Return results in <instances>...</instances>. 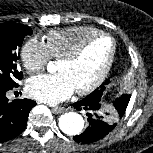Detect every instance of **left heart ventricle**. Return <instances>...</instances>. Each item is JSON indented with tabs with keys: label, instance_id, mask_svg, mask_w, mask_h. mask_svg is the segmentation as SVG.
<instances>
[{
	"label": "left heart ventricle",
	"instance_id": "b2bd125f",
	"mask_svg": "<svg viewBox=\"0 0 153 153\" xmlns=\"http://www.w3.org/2000/svg\"><path fill=\"white\" fill-rule=\"evenodd\" d=\"M112 49L110 39L102 37L91 42L83 53L72 62L59 61L57 71L65 73L74 89L92 83L106 65Z\"/></svg>",
	"mask_w": 153,
	"mask_h": 153
}]
</instances>
